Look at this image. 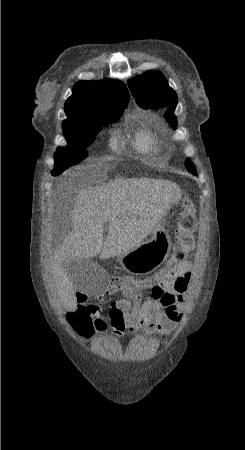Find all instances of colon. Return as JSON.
Instances as JSON below:
<instances>
[{
  "mask_svg": "<svg viewBox=\"0 0 245 450\" xmlns=\"http://www.w3.org/2000/svg\"><path fill=\"white\" fill-rule=\"evenodd\" d=\"M195 230V204L192 196L186 195L181 200V210L177 218L175 230V244L169 266L181 264L186 261L194 247ZM147 280L148 278L117 275L111 279L110 285L116 291L124 289L136 290ZM88 297L85 294L77 293V299L86 303L77 305L76 310L68 318L70 328L80 336H89L93 333L95 330V322L100 314L97 306L88 301Z\"/></svg>",
  "mask_w": 245,
  "mask_h": 450,
  "instance_id": "colon-1",
  "label": "colon"
}]
</instances>
